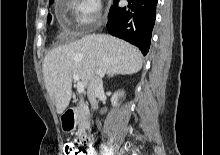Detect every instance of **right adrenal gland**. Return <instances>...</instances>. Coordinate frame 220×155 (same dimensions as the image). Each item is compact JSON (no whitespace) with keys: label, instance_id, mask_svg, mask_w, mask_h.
Instances as JSON below:
<instances>
[{"label":"right adrenal gland","instance_id":"1","mask_svg":"<svg viewBox=\"0 0 220 155\" xmlns=\"http://www.w3.org/2000/svg\"><path fill=\"white\" fill-rule=\"evenodd\" d=\"M113 76H114V74H110V75L108 76V78L113 77Z\"/></svg>","mask_w":220,"mask_h":155}]
</instances>
